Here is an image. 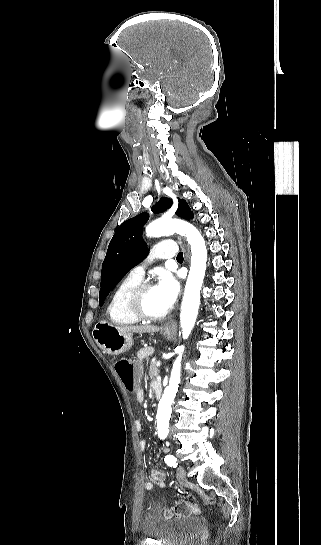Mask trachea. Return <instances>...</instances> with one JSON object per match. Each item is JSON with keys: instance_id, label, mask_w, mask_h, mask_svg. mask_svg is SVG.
Listing matches in <instances>:
<instances>
[{"instance_id": "3493384b", "label": "trachea", "mask_w": 321, "mask_h": 545, "mask_svg": "<svg viewBox=\"0 0 321 545\" xmlns=\"http://www.w3.org/2000/svg\"><path fill=\"white\" fill-rule=\"evenodd\" d=\"M176 258H177L178 261L183 260V253L182 252L178 253Z\"/></svg>"}]
</instances>
